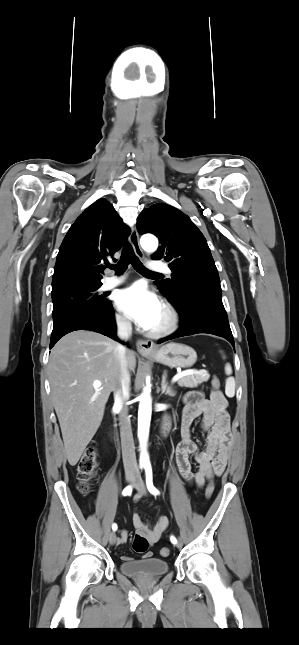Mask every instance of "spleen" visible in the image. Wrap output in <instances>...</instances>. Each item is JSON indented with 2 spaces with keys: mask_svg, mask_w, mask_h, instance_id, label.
<instances>
[{
  "mask_svg": "<svg viewBox=\"0 0 299 645\" xmlns=\"http://www.w3.org/2000/svg\"><path fill=\"white\" fill-rule=\"evenodd\" d=\"M225 373L229 375L226 379L225 393L228 397H233L235 395V379L230 376L232 374V367L229 363L225 365Z\"/></svg>",
  "mask_w": 299,
  "mask_h": 645,
  "instance_id": "obj_1",
  "label": "spleen"
}]
</instances>
